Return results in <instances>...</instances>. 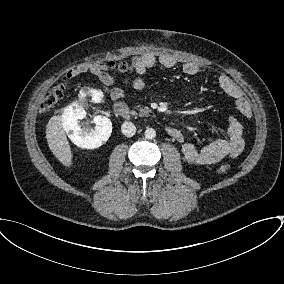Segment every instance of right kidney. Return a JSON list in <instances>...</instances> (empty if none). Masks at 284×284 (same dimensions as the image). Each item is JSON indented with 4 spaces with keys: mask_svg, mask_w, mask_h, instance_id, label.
<instances>
[{
    "mask_svg": "<svg viewBox=\"0 0 284 284\" xmlns=\"http://www.w3.org/2000/svg\"><path fill=\"white\" fill-rule=\"evenodd\" d=\"M91 92L97 102L103 99V92L96 89H81L80 97L84 98ZM87 115L82 105L73 103L68 106L62 115L63 127L68 134L70 140L78 147L86 149H95L100 147L108 140L112 132V123L105 116H95L93 123L95 128L90 130L82 127L79 121Z\"/></svg>",
    "mask_w": 284,
    "mask_h": 284,
    "instance_id": "1",
    "label": "right kidney"
}]
</instances>
